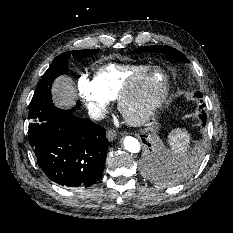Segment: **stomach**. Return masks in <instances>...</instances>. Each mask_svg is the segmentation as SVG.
I'll return each mask as SVG.
<instances>
[{
    "label": "stomach",
    "mask_w": 233,
    "mask_h": 233,
    "mask_svg": "<svg viewBox=\"0 0 233 233\" xmlns=\"http://www.w3.org/2000/svg\"><path fill=\"white\" fill-rule=\"evenodd\" d=\"M159 129V124L157 122H153L151 125H150V130L152 131H157Z\"/></svg>",
    "instance_id": "obj_1"
}]
</instances>
